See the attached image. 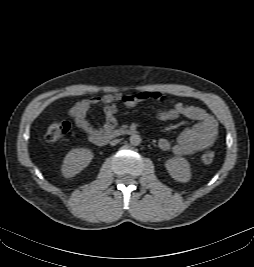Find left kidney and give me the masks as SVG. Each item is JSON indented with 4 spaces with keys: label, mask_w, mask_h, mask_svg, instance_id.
Here are the masks:
<instances>
[{
    "label": "left kidney",
    "mask_w": 254,
    "mask_h": 267,
    "mask_svg": "<svg viewBox=\"0 0 254 267\" xmlns=\"http://www.w3.org/2000/svg\"><path fill=\"white\" fill-rule=\"evenodd\" d=\"M165 167L169 175L182 183L191 179V170L189 162L183 157H173L166 161Z\"/></svg>",
    "instance_id": "1"
}]
</instances>
